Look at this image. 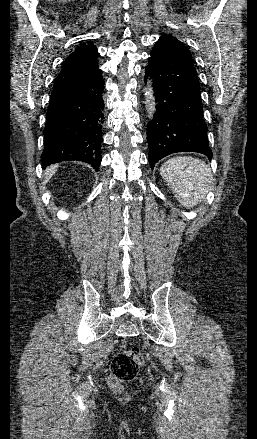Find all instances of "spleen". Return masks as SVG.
<instances>
[{
  "label": "spleen",
  "instance_id": "1",
  "mask_svg": "<svg viewBox=\"0 0 257 439\" xmlns=\"http://www.w3.org/2000/svg\"><path fill=\"white\" fill-rule=\"evenodd\" d=\"M160 175L176 199L193 208L208 192L212 174L205 162L192 157H174L160 167Z\"/></svg>",
  "mask_w": 257,
  "mask_h": 439
}]
</instances>
